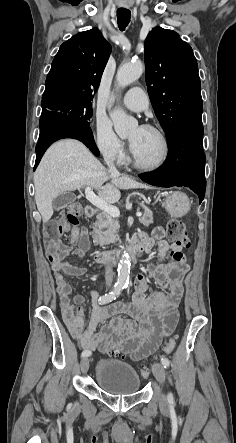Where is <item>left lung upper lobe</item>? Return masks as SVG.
Here are the masks:
<instances>
[{
	"label": "left lung upper lobe",
	"mask_w": 236,
	"mask_h": 443,
	"mask_svg": "<svg viewBox=\"0 0 236 443\" xmlns=\"http://www.w3.org/2000/svg\"><path fill=\"white\" fill-rule=\"evenodd\" d=\"M145 79L155 115L169 138L180 125L202 120L198 65L190 45L155 27L145 40Z\"/></svg>",
	"instance_id": "5c2ea615"
}]
</instances>
